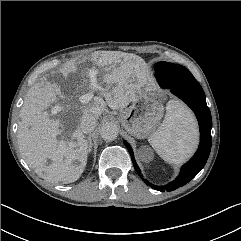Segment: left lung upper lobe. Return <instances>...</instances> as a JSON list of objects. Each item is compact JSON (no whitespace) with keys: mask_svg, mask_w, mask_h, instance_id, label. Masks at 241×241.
<instances>
[{"mask_svg":"<svg viewBox=\"0 0 241 241\" xmlns=\"http://www.w3.org/2000/svg\"><path fill=\"white\" fill-rule=\"evenodd\" d=\"M154 68L156 74L170 86H180L197 81L190 71L181 65L159 62L155 64Z\"/></svg>","mask_w":241,"mask_h":241,"instance_id":"obj_1","label":"left lung upper lobe"}]
</instances>
